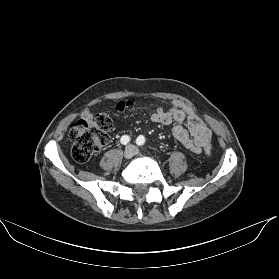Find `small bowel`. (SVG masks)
<instances>
[{"instance_id":"1","label":"small bowel","mask_w":279,"mask_h":279,"mask_svg":"<svg viewBox=\"0 0 279 279\" xmlns=\"http://www.w3.org/2000/svg\"><path fill=\"white\" fill-rule=\"evenodd\" d=\"M83 118H92L87 111ZM150 120L163 125L174 124L173 136L186 149L200 154L206 145L211 144V131L209 127L194 114L192 108L181 100H174L169 108L159 107ZM187 126V128L185 127Z\"/></svg>"}]
</instances>
